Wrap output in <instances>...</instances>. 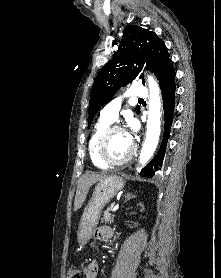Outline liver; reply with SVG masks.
<instances>
[{
  "mask_svg": "<svg viewBox=\"0 0 221 278\" xmlns=\"http://www.w3.org/2000/svg\"><path fill=\"white\" fill-rule=\"evenodd\" d=\"M106 175L95 174V173H86L80 177L78 180L75 201H74V211H77L81 208L84 203L90 187L102 179L106 178Z\"/></svg>",
  "mask_w": 221,
  "mask_h": 278,
  "instance_id": "1",
  "label": "liver"
}]
</instances>
